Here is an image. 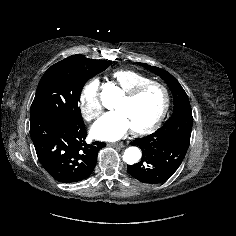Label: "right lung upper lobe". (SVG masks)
Returning a JSON list of instances; mask_svg holds the SVG:
<instances>
[{
  "mask_svg": "<svg viewBox=\"0 0 236 236\" xmlns=\"http://www.w3.org/2000/svg\"><path fill=\"white\" fill-rule=\"evenodd\" d=\"M58 63L90 67L99 63V60L85 58L83 55H72Z\"/></svg>",
  "mask_w": 236,
  "mask_h": 236,
  "instance_id": "cb5924a9",
  "label": "right lung upper lobe"
}]
</instances>
